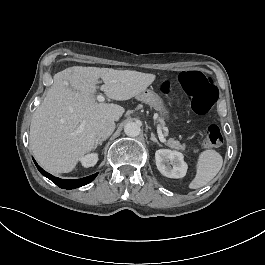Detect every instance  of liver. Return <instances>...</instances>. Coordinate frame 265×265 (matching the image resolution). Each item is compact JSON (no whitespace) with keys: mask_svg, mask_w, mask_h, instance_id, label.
Instances as JSON below:
<instances>
[{"mask_svg":"<svg viewBox=\"0 0 265 265\" xmlns=\"http://www.w3.org/2000/svg\"><path fill=\"white\" fill-rule=\"evenodd\" d=\"M107 97L125 101L136 97L157 78L151 73L94 66H70L53 76V84L34 111L30 147L39 164L52 173H69L96 143L103 120L118 121L125 109L98 102L99 79Z\"/></svg>","mask_w":265,"mask_h":265,"instance_id":"6515ba94","label":"liver"}]
</instances>
